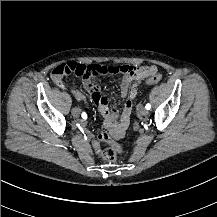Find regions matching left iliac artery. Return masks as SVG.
<instances>
[{"mask_svg":"<svg viewBox=\"0 0 217 217\" xmlns=\"http://www.w3.org/2000/svg\"><path fill=\"white\" fill-rule=\"evenodd\" d=\"M145 108H146L147 110H150L151 105L148 103V104H146Z\"/></svg>","mask_w":217,"mask_h":217,"instance_id":"left-iliac-artery-1","label":"left iliac artery"}]
</instances>
